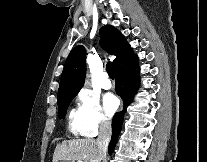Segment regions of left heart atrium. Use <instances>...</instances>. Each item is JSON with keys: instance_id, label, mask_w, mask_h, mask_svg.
Segmentation results:
<instances>
[{"instance_id": "left-heart-atrium-1", "label": "left heart atrium", "mask_w": 207, "mask_h": 162, "mask_svg": "<svg viewBox=\"0 0 207 162\" xmlns=\"http://www.w3.org/2000/svg\"><path fill=\"white\" fill-rule=\"evenodd\" d=\"M118 104V99L111 93H108L103 97V107L108 116H111L115 112Z\"/></svg>"}]
</instances>
